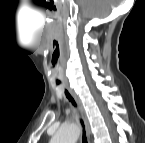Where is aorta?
<instances>
[{"instance_id": "aorta-1", "label": "aorta", "mask_w": 145, "mask_h": 143, "mask_svg": "<svg viewBox=\"0 0 145 143\" xmlns=\"http://www.w3.org/2000/svg\"><path fill=\"white\" fill-rule=\"evenodd\" d=\"M79 137L78 127L74 124L62 126L52 137L53 143H76Z\"/></svg>"}]
</instances>
